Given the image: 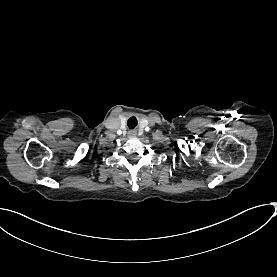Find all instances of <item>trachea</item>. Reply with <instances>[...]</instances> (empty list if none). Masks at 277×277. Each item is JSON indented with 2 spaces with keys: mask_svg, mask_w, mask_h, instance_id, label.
Here are the masks:
<instances>
[{
  "mask_svg": "<svg viewBox=\"0 0 277 277\" xmlns=\"http://www.w3.org/2000/svg\"><path fill=\"white\" fill-rule=\"evenodd\" d=\"M127 125L129 127V130H134V128L137 126V119L135 117H131L128 120Z\"/></svg>",
  "mask_w": 277,
  "mask_h": 277,
  "instance_id": "trachea-1",
  "label": "trachea"
}]
</instances>
